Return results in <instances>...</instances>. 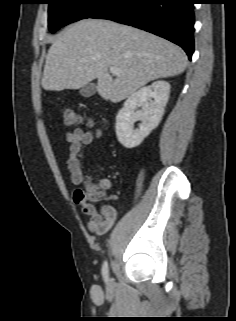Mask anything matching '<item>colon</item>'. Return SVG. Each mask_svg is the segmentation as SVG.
<instances>
[{
  "label": "colon",
  "mask_w": 236,
  "mask_h": 321,
  "mask_svg": "<svg viewBox=\"0 0 236 321\" xmlns=\"http://www.w3.org/2000/svg\"><path fill=\"white\" fill-rule=\"evenodd\" d=\"M63 121L67 126L77 125L81 122V118L70 109H66L63 112ZM77 194L84 200L92 203H100L105 200V194L102 188L88 180L84 188H78Z\"/></svg>",
  "instance_id": "1"
}]
</instances>
